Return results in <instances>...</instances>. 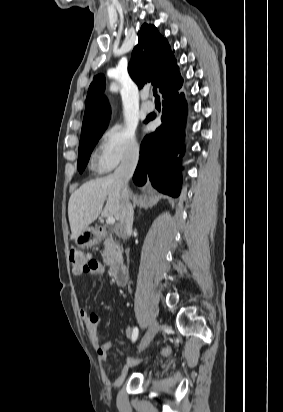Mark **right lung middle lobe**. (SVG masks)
<instances>
[{"label": "right lung middle lobe", "instance_id": "dd1d6c3e", "mask_svg": "<svg viewBox=\"0 0 283 412\" xmlns=\"http://www.w3.org/2000/svg\"><path fill=\"white\" fill-rule=\"evenodd\" d=\"M104 131L96 132L90 135H87L83 138H80L79 143V152H78V170L82 173L88 163L90 154L94 149L95 145L99 141V138L102 136Z\"/></svg>", "mask_w": 283, "mask_h": 412}]
</instances>
